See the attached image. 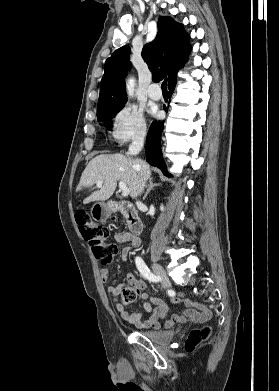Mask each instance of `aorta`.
<instances>
[{"mask_svg": "<svg viewBox=\"0 0 279 391\" xmlns=\"http://www.w3.org/2000/svg\"><path fill=\"white\" fill-rule=\"evenodd\" d=\"M127 88H128V93H129V96H132L133 94V90H134V80L133 79H130L127 83Z\"/></svg>", "mask_w": 279, "mask_h": 391, "instance_id": "aorta-1", "label": "aorta"}]
</instances>
